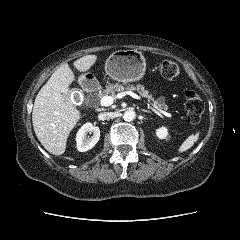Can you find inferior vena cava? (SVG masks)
I'll use <instances>...</instances> for the list:
<instances>
[{"label": "inferior vena cava", "instance_id": "obj_1", "mask_svg": "<svg viewBox=\"0 0 240 240\" xmlns=\"http://www.w3.org/2000/svg\"><path fill=\"white\" fill-rule=\"evenodd\" d=\"M113 112H103L99 114V118L102 120H109L113 117Z\"/></svg>", "mask_w": 240, "mask_h": 240}]
</instances>
